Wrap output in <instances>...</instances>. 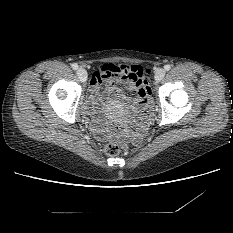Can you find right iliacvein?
I'll return each mask as SVG.
<instances>
[{"label":"right iliac vein","instance_id":"obj_1","mask_svg":"<svg viewBox=\"0 0 233 233\" xmlns=\"http://www.w3.org/2000/svg\"><path fill=\"white\" fill-rule=\"evenodd\" d=\"M77 76L82 82H85L87 80V71L84 68H79L77 70Z\"/></svg>","mask_w":233,"mask_h":233}]
</instances>
